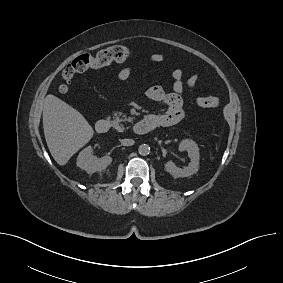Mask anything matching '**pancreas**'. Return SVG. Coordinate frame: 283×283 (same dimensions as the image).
Instances as JSON below:
<instances>
[{"instance_id":"cf45deb5","label":"pancreas","mask_w":283,"mask_h":283,"mask_svg":"<svg viewBox=\"0 0 283 283\" xmlns=\"http://www.w3.org/2000/svg\"><path fill=\"white\" fill-rule=\"evenodd\" d=\"M132 118L131 117H126V115H123V118H119L117 117L115 120H114V128L116 130H118L119 132H123L124 131V127L123 125L121 124V122H132Z\"/></svg>"}]
</instances>
